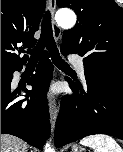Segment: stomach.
I'll use <instances>...</instances> for the list:
<instances>
[{"label": "stomach", "instance_id": "obj_1", "mask_svg": "<svg viewBox=\"0 0 123 152\" xmlns=\"http://www.w3.org/2000/svg\"><path fill=\"white\" fill-rule=\"evenodd\" d=\"M72 152H84V149L79 147V146H77V145H74L72 147Z\"/></svg>", "mask_w": 123, "mask_h": 152}]
</instances>
